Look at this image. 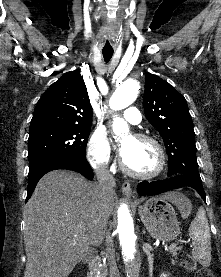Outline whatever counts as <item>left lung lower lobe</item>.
<instances>
[{"mask_svg": "<svg viewBox=\"0 0 221 277\" xmlns=\"http://www.w3.org/2000/svg\"><path fill=\"white\" fill-rule=\"evenodd\" d=\"M181 187L194 188L205 201V192L201 178L189 177L187 175H175L161 181L140 182L137 190L142 196H153Z\"/></svg>", "mask_w": 221, "mask_h": 277, "instance_id": "1", "label": "left lung lower lobe"}]
</instances>
